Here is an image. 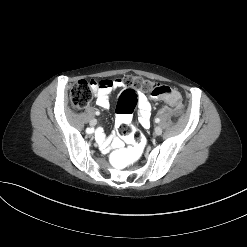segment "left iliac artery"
Returning <instances> with one entry per match:
<instances>
[{
	"instance_id": "left-iliac-artery-1",
	"label": "left iliac artery",
	"mask_w": 247,
	"mask_h": 247,
	"mask_svg": "<svg viewBox=\"0 0 247 247\" xmlns=\"http://www.w3.org/2000/svg\"><path fill=\"white\" fill-rule=\"evenodd\" d=\"M155 122H156V123H159V122H160V119H159V118H156V119H155Z\"/></svg>"
}]
</instances>
